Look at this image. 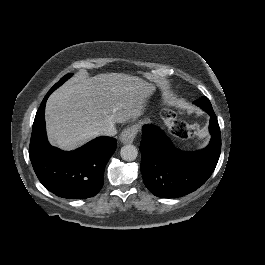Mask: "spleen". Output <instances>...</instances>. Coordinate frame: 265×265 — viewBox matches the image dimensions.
I'll list each match as a JSON object with an SVG mask.
<instances>
[{"label": "spleen", "mask_w": 265, "mask_h": 265, "mask_svg": "<svg viewBox=\"0 0 265 265\" xmlns=\"http://www.w3.org/2000/svg\"><path fill=\"white\" fill-rule=\"evenodd\" d=\"M193 147L192 143H187L185 145L182 146L183 150H190Z\"/></svg>", "instance_id": "1"}]
</instances>
